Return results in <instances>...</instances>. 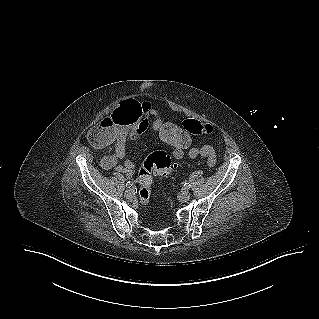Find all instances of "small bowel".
<instances>
[{"label": "small bowel", "mask_w": 319, "mask_h": 319, "mask_svg": "<svg viewBox=\"0 0 319 319\" xmlns=\"http://www.w3.org/2000/svg\"><path fill=\"white\" fill-rule=\"evenodd\" d=\"M157 116H161L158 108L149 102L142 103L135 99L117 101V108L111 112L103 113L99 117L98 123L92 126L87 133L88 142L92 146L108 149L114 145L113 152L101 158L102 167L131 174L134 170L133 163L129 161H125L123 164L118 163V160L125 157L126 140L138 138L148 129L149 122ZM181 122H179L180 130H182ZM184 155L185 150L173 149L174 158L180 160ZM188 156L191 159L198 157L205 159L209 167L216 164L215 151L209 145L191 148Z\"/></svg>", "instance_id": "1"}]
</instances>
